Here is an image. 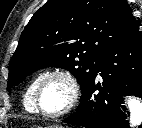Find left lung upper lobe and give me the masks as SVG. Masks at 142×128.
<instances>
[{"label": "left lung upper lobe", "instance_id": "1", "mask_svg": "<svg viewBox=\"0 0 142 128\" xmlns=\"http://www.w3.org/2000/svg\"><path fill=\"white\" fill-rule=\"evenodd\" d=\"M137 29L125 0H48L20 36L7 88L53 66L70 71L83 93L104 53Z\"/></svg>", "mask_w": 142, "mask_h": 128}]
</instances>
